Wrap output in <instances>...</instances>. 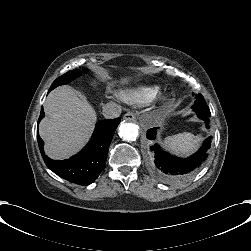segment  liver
<instances>
[{
    "mask_svg": "<svg viewBox=\"0 0 251 251\" xmlns=\"http://www.w3.org/2000/svg\"><path fill=\"white\" fill-rule=\"evenodd\" d=\"M100 75L98 79H102ZM134 77L124 74L118 83L128 88ZM45 117L39 123V135L44 152L53 160H65L76 155L90 141L98 120L94 107L86 97H79L68 85L53 89L44 102Z\"/></svg>",
    "mask_w": 251,
    "mask_h": 251,
    "instance_id": "1",
    "label": "liver"
}]
</instances>
